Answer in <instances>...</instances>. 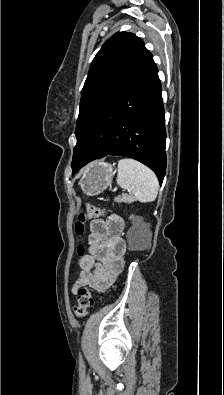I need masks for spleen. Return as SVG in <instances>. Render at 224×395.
I'll use <instances>...</instances> for the list:
<instances>
[{
    "mask_svg": "<svg viewBox=\"0 0 224 395\" xmlns=\"http://www.w3.org/2000/svg\"><path fill=\"white\" fill-rule=\"evenodd\" d=\"M117 184L131 191L135 200L152 202L158 195L159 183L155 173L134 159H121L118 162Z\"/></svg>",
    "mask_w": 224,
    "mask_h": 395,
    "instance_id": "spleen-1",
    "label": "spleen"
}]
</instances>
